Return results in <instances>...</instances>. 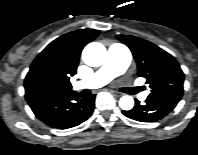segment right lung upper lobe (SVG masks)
<instances>
[{"mask_svg":"<svg viewBox=\"0 0 198 155\" xmlns=\"http://www.w3.org/2000/svg\"><path fill=\"white\" fill-rule=\"evenodd\" d=\"M98 30L79 29L51 42L33 61L25 78L28 104L71 93L70 76L77 72L79 57Z\"/></svg>","mask_w":198,"mask_h":155,"instance_id":"obj_1","label":"right lung upper lobe"}]
</instances>
